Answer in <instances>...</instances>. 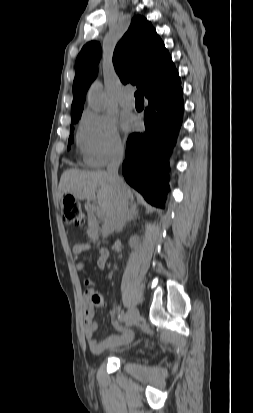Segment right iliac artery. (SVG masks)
Listing matches in <instances>:
<instances>
[{
    "mask_svg": "<svg viewBox=\"0 0 253 413\" xmlns=\"http://www.w3.org/2000/svg\"><path fill=\"white\" fill-rule=\"evenodd\" d=\"M118 318L122 321H126L128 318V315L124 312H122L121 314H119Z\"/></svg>",
    "mask_w": 253,
    "mask_h": 413,
    "instance_id": "obj_1",
    "label": "right iliac artery"
}]
</instances>
